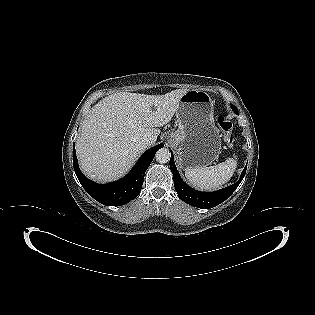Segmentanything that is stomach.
Wrapping results in <instances>:
<instances>
[{
  "label": "stomach",
  "mask_w": 315,
  "mask_h": 315,
  "mask_svg": "<svg viewBox=\"0 0 315 315\" xmlns=\"http://www.w3.org/2000/svg\"><path fill=\"white\" fill-rule=\"evenodd\" d=\"M214 102L201 90H188L176 111L178 130L168 135L182 169L206 167L221 153V135L213 118Z\"/></svg>",
  "instance_id": "0dacf381"
}]
</instances>
